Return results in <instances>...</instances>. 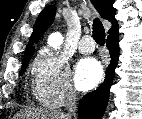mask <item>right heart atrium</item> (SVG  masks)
<instances>
[{"instance_id": "1", "label": "right heart atrium", "mask_w": 142, "mask_h": 119, "mask_svg": "<svg viewBox=\"0 0 142 119\" xmlns=\"http://www.w3.org/2000/svg\"><path fill=\"white\" fill-rule=\"evenodd\" d=\"M32 75L35 96L44 106L60 107L76 97L68 63L59 53L42 51L32 64Z\"/></svg>"}]
</instances>
